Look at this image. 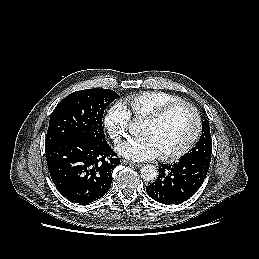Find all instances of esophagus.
I'll list each match as a JSON object with an SVG mask.
<instances>
[{"instance_id":"34e87169","label":"esophagus","mask_w":259,"mask_h":259,"mask_svg":"<svg viewBox=\"0 0 259 259\" xmlns=\"http://www.w3.org/2000/svg\"><path fill=\"white\" fill-rule=\"evenodd\" d=\"M123 164H129L131 166L138 167V168L142 166V164H140V163H133V162H129L126 160H123Z\"/></svg>"}]
</instances>
